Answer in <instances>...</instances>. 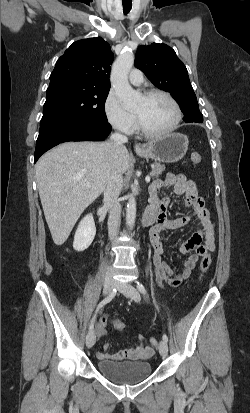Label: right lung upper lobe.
<instances>
[{
  "label": "right lung upper lobe",
  "instance_id": "obj_1",
  "mask_svg": "<svg viewBox=\"0 0 250 413\" xmlns=\"http://www.w3.org/2000/svg\"><path fill=\"white\" fill-rule=\"evenodd\" d=\"M112 61L110 45L102 38L76 41L56 62L47 90L63 85L109 90Z\"/></svg>",
  "mask_w": 250,
  "mask_h": 413
}]
</instances>
